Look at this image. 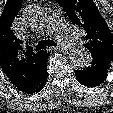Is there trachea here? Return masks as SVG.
<instances>
[{
  "mask_svg": "<svg viewBox=\"0 0 113 113\" xmlns=\"http://www.w3.org/2000/svg\"><path fill=\"white\" fill-rule=\"evenodd\" d=\"M52 46H57V43H55L52 40H41L38 45L36 46L35 50L39 51L41 49H44L46 47H52Z\"/></svg>",
  "mask_w": 113,
  "mask_h": 113,
  "instance_id": "trachea-1",
  "label": "trachea"
}]
</instances>
